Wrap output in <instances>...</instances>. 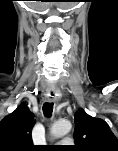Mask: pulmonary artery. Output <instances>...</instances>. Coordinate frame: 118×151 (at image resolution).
<instances>
[{
  "mask_svg": "<svg viewBox=\"0 0 118 151\" xmlns=\"http://www.w3.org/2000/svg\"><path fill=\"white\" fill-rule=\"evenodd\" d=\"M73 141L71 138H65L61 141V144H71Z\"/></svg>",
  "mask_w": 118,
  "mask_h": 151,
  "instance_id": "1",
  "label": "pulmonary artery"
}]
</instances>
